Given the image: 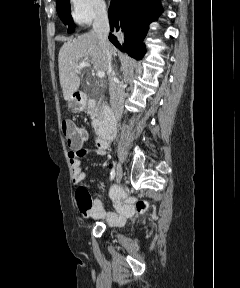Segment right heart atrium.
<instances>
[{
	"instance_id": "1",
	"label": "right heart atrium",
	"mask_w": 240,
	"mask_h": 288,
	"mask_svg": "<svg viewBox=\"0 0 240 288\" xmlns=\"http://www.w3.org/2000/svg\"><path fill=\"white\" fill-rule=\"evenodd\" d=\"M73 16L79 24H89L107 13L105 0H71Z\"/></svg>"
}]
</instances>
